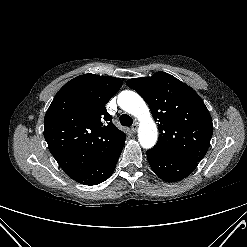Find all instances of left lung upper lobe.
I'll use <instances>...</instances> for the list:
<instances>
[{"label": "left lung upper lobe", "instance_id": "left-lung-upper-lobe-1", "mask_svg": "<svg viewBox=\"0 0 247 247\" xmlns=\"http://www.w3.org/2000/svg\"><path fill=\"white\" fill-rule=\"evenodd\" d=\"M127 86L138 92L158 121L159 139L154 147L171 155L200 162L213 134L211 115L203 100L174 76L157 72L134 78Z\"/></svg>", "mask_w": 247, "mask_h": 247}]
</instances>
